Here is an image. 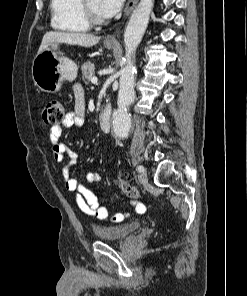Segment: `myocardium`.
Wrapping results in <instances>:
<instances>
[{
    "mask_svg": "<svg viewBox=\"0 0 247 296\" xmlns=\"http://www.w3.org/2000/svg\"><path fill=\"white\" fill-rule=\"evenodd\" d=\"M80 6L83 17L89 25H100L104 23V19L91 9L88 0H81Z\"/></svg>",
    "mask_w": 247,
    "mask_h": 296,
    "instance_id": "obj_1",
    "label": "myocardium"
}]
</instances>
